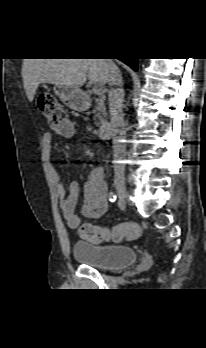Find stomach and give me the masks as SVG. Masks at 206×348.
<instances>
[{
    "mask_svg": "<svg viewBox=\"0 0 206 348\" xmlns=\"http://www.w3.org/2000/svg\"><path fill=\"white\" fill-rule=\"evenodd\" d=\"M54 93L69 108L83 111L87 106L86 94L81 89L72 88L68 85H54Z\"/></svg>",
    "mask_w": 206,
    "mask_h": 348,
    "instance_id": "obj_1",
    "label": "stomach"
}]
</instances>
